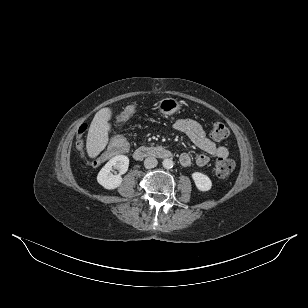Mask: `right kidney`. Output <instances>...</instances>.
Wrapping results in <instances>:
<instances>
[{
  "mask_svg": "<svg viewBox=\"0 0 308 308\" xmlns=\"http://www.w3.org/2000/svg\"><path fill=\"white\" fill-rule=\"evenodd\" d=\"M119 169V174L113 175L112 168ZM129 167V158L125 155H117L110 159L105 166L100 170L97 176V181L105 189L112 190L119 187L123 181L121 174L126 173Z\"/></svg>",
  "mask_w": 308,
  "mask_h": 308,
  "instance_id": "right-kidney-1",
  "label": "right kidney"
}]
</instances>
